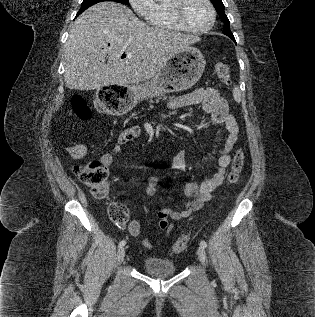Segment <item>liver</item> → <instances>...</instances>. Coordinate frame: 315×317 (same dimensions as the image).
Masks as SVG:
<instances>
[{
	"instance_id": "obj_1",
	"label": "liver",
	"mask_w": 315,
	"mask_h": 317,
	"mask_svg": "<svg viewBox=\"0 0 315 317\" xmlns=\"http://www.w3.org/2000/svg\"><path fill=\"white\" fill-rule=\"evenodd\" d=\"M199 40L150 27L119 3L96 4L70 26L64 49L65 85L93 90L151 80L172 56ZM123 53L126 57L121 59Z\"/></svg>"
}]
</instances>
